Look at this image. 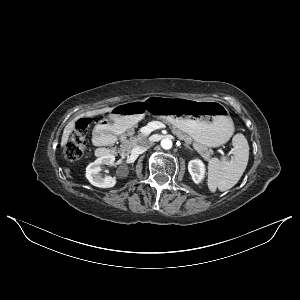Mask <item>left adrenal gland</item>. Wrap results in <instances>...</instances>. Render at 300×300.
<instances>
[{"label":"left adrenal gland","mask_w":300,"mask_h":300,"mask_svg":"<svg viewBox=\"0 0 300 300\" xmlns=\"http://www.w3.org/2000/svg\"><path fill=\"white\" fill-rule=\"evenodd\" d=\"M184 146L186 147V148H188V149H190V150H193L189 145H187V144H184Z\"/></svg>","instance_id":"obj_1"}]
</instances>
